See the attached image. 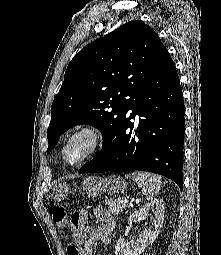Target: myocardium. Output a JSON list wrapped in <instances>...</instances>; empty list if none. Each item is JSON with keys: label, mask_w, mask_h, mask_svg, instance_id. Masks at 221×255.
Segmentation results:
<instances>
[{"label": "myocardium", "mask_w": 221, "mask_h": 255, "mask_svg": "<svg viewBox=\"0 0 221 255\" xmlns=\"http://www.w3.org/2000/svg\"><path fill=\"white\" fill-rule=\"evenodd\" d=\"M80 136H85L89 139V149L87 152L76 162H69L66 158V150L69 144L76 138ZM102 143V132L95 125H83L77 129H75L65 140L62 147V159L64 163L70 166H79L91 158L100 148Z\"/></svg>", "instance_id": "obj_1"}]
</instances>
